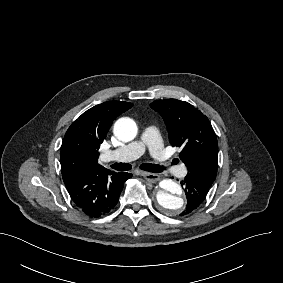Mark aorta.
<instances>
[{
  "label": "aorta",
  "mask_w": 283,
  "mask_h": 283,
  "mask_svg": "<svg viewBox=\"0 0 283 283\" xmlns=\"http://www.w3.org/2000/svg\"><path fill=\"white\" fill-rule=\"evenodd\" d=\"M138 132L135 121L128 117L118 119L114 124L115 136L123 141L133 140ZM160 188L156 194L158 204L163 210L171 215L179 214L184 206V200L181 197L182 188L171 179H164L160 183Z\"/></svg>",
  "instance_id": "obj_1"
}]
</instances>
